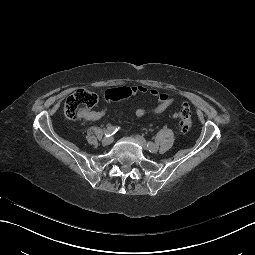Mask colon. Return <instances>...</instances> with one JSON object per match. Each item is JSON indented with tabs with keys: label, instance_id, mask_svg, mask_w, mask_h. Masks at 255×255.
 <instances>
[{
	"label": "colon",
	"instance_id": "5ec220e1",
	"mask_svg": "<svg viewBox=\"0 0 255 255\" xmlns=\"http://www.w3.org/2000/svg\"><path fill=\"white\" fill-rule=\"evenodd\" d=\"M133 90L129 87L110 89L105 92L104 97L109 101H118L129 97ZM97 95L91 91L80 89L70 95L64 106L65 115L69 119L81 118L97 104ZM175 117L179 121L183 132H188L192 126V113L188 105L184 104L176 113Z\"/></svg>",
	"mask_w": 255,
	"mask_h": 255
}]
</instances>
